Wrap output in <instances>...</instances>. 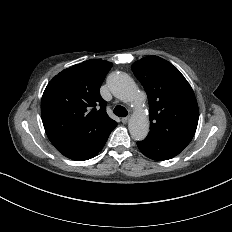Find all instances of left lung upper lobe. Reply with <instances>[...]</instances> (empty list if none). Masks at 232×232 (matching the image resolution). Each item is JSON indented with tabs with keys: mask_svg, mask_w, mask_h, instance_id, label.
I'll list each match as a JSON object with an SVG mask.
<instances>
[{
	"mask_svg": "<svg viewBox=\"0 0 232 232\" xmlns=\"http://www.w3.org/2000/svg\"><path fill=\"white\" fill-rule=\"evenodd\" d=\"M149 101L150 131L153 136L184 149L198 124V104L181 72L158 56H148L132 65Z\"/></svg>",
	"mask_w": 232,
	"mask_h": 232,
	"instance_id": "obj_1",
	"label": "left lung upper lobe"
}]
</instances>
